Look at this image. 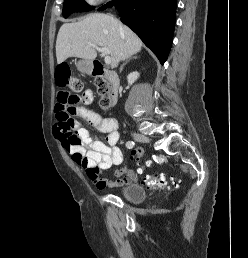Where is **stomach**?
Instances as JSON below:
<instances>
[{
    "label": "stomach",
    "instance_id": "0dacf381",
    "mask_svg": "<svg viewBox=\"0 0 248 258\" xmlns=\"http://www.w3.org/2000/svg\"><path fill=\"white\" fill-rule=\"evenodd\" d=\"M77 68L82 73L91 74L93 71V65L91 61L88 60H80L77 63Z\"/></svg>",
    "mask_w": 248,
    "mask_h": 258
}]
</instances>
